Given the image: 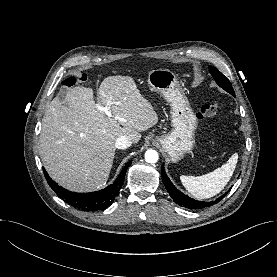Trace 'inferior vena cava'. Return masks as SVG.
Masks as SVG:
<instances>
[{"instance_id": "obj_1", "label": "inferior vena cava", "mask_w": 277, "mask_h": 277, "mask_svg": "<svg viewBox=\"0 0 277 277\" xmlns=\"http://www.w3.org/2000/svg\"><path fill=\"white\" fill-rule=\"evenodd\" d=\"M131 144H132L131 138L127 135H122L116 140L115 147L117 149H126L130 147Z\"/></svg>"}]
</instances>
